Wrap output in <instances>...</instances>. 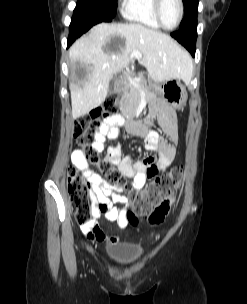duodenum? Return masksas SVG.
Masks as SVG:
<instances>
[{
	"mask_svg": "<svg viewBox=\"0 0 247 304\" xmlns=\"http://www.w3.org/2000/svg\"><path fill=\"white\" fill-rule=\"evenodd\" d=\"M150 80L147 78V79H144V82H149ZM125 89H128V86H125ZM117 109H122V104H117Z\"/></svg>",
	"mask_w": 247,
	"mask_h": 304,
	"instance_id": "obj_1",
	"label": "duodenum"
}]
</instances>
